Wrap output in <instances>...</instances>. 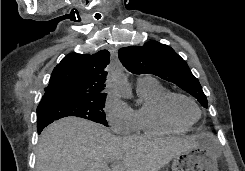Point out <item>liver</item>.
<instances>
[{
  "mask_svg": "<svg viewBox=\"0 0 245 171\" xmlns=\"http://www.w3.org/2000/svg\"><path fill=\"white\" fill-rule=\"evenodd\" d=\"M202 138L117 137L99 124L68 117L42 132L36 171H158ZM109 160L116 162L112 170Z\"/></svg>",
  "mask_w": 245,
  "mask_h": 171,
  "instance_id": "obj_1",
  "label": "liver"
}]
</instances>
